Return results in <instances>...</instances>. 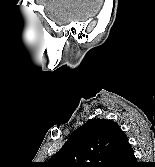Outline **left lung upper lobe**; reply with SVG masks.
I'll return each mask as SVG.
<instances>
[{
    "instance_id": "obj_1",
    "label": "left lung upper lobe",
    "mask_w": 155,
    "mask_h": 167,
    "mask_svg": "<svg viewBox=\"0 0 155 167\" xmlns=\"http://www.w3.org/2000/svg\"><path fill=\"white\" fill-rule=\"evenodd\" d=\"M126 139L116 122L91 119L76 129L48 162L52 167H111Z\"/></svg>"
}]
</instances>
